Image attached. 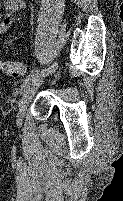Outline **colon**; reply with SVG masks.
<instances>
[{
    "label": "colon",
    "instance_id": "obj_1",
    "mask_svg": "<svg viewBox=\"0 0 123 201\" xmlns=\"http://www.w3.org/2000/svg\"><path fill=\"white\" fill-rule=\"evenodd\" d=\"M0 68L5 74L9 76H20L24 72L23 65L16 60H0Z\"/></svg>",
    "mask_w": 123,
    "mask_h": 201
}]
</instances>
